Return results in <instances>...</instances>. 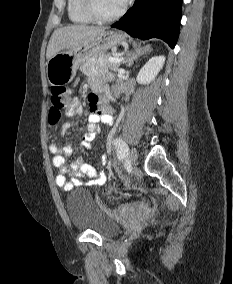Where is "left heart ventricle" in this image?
Masks as SVG:
<instances>
[{"label":"left heart ventricle","mask_w":233,"mask_h":284,"mask_svg":"<svg viewBox=\"0 0 233 284\" xmlns=\"http://www.w3.org/2000/svg\"><path fill=\"white\" fill-rule=\"evenodd\" d=\"M96 3L100 12L106 15L113 14L122 7L119 0H96Z\"/></svg>","instance_id":"1"}]
</instances>
